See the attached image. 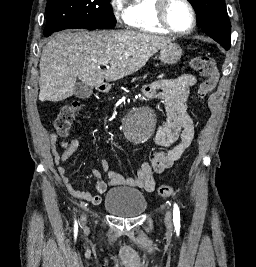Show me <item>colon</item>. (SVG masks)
<instances>
[{
  "mask_svg": "<svg viewBox=\"0 0 256 267\" xmlns=\"http://www.w3.org/2000/svg\"><path fill=\"white\" fill-rule=\"evenodd\" d=\"M191 66L204 77L197 91V99L202 101L215 89L218 81L217 64L212 57L199 56L191 60ZM80 110V104L77 103L63 106L58 111V115L53 122L55 132L63 136L67 135L72 121L79 114ZM174 192V187L170 185L163 184L157 187V194L161 197H170Z\"/></svg>",
  "mask_w": 256,
  "mask_h": 267,
  "instance_id": "obj_1",
  "label": "colon"
}]
</instances>
